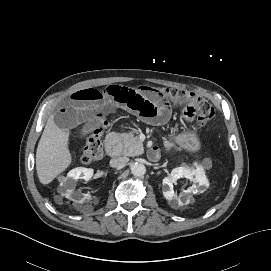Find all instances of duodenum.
<instances>
[{"label":"duodenum","instance_id":"duodenum-1","mask_svg":"<svg viewBox=\"0 0 271 271\" xmlns=\"http://www.w3.org/2000/svg\"><path fill=\"white\" fill-rule=\"evenodd\" d=\"M105 148L107 154L112 158H116L120 155L121 145L118 133L112 132L107 135L105 139Z\"/></svg>","mask_w":271,"mask_h":271}]
</instances>
